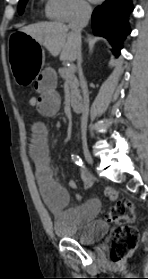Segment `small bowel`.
Masks as SVG:
<instances>
[{
  "label": "small bowel",
  "instance_id": "1",
  "mask_svg": "<svg viewBox=\"0 0 148 279\" xmlns=\"http://www.w3.org/2000/svg\"><path fill=\"white\" fill-rule=\"evenodd\" d=\"M35 89L39 93L37 111L43 116L55 115L61 105L60 96L57 92V74L52 68L43 69L35 82ZM30 156L34 163L36 179L47 206L55 211L62 212L65 220L72 224H81L94 218L100 211V204L97 199H91L74 208L66 209L69 201L67 190L55 181L50 165L47 129L42 123H35L32 127L30 143ZM86 186L91 184L90 177L83 173ZM71 188L76 187L74 181L69 182ZM106 196L110 201L118 198L117 192L108 188Z\"/></svg>",
  "mask_w": 148,
  "mask_h": 279
}]
</instances>
